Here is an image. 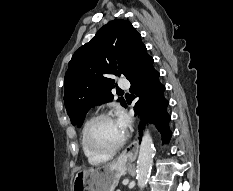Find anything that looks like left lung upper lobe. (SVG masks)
I'll return each mask as SVG.
<instances>
[{"instance_id": "obj_1", "label": "left lung upper lobe", "mask_w": 233, "mask_h": 191, "mask_svg": "<svg viewBox=\"0 0 233 191\" xmlns=\"http://www.w3.org/2000/svg\"><path fill=\"white\" fill-rule=\"evenodd\" d=\"M148 56L140 34L127 20H113L73 55L65 75L64 102L71 123L80 127L91 107L113 100L111 75L127 79ZM126 107L123 98L118 99Z\"/></svg>"}]
</instances>
